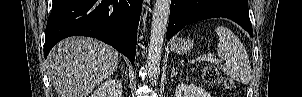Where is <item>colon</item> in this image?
Segmentation results:
<instances>
[{"label": "colon", "mask_w": 302, "mask_h": 97, "mask_svg": "<svg viewBox=\"0 0 302 97\" xmlns=\"http://www.w3.org/2000/svg\"><path fill=\"white\" fill-rule=\"evenodd\" d=\"M203 79L208 82V83H212V84H215V83H220L222 82L220 76H219V73L217 72V70L213 67H206L204 70H203ZM224 84L227 86V87H231L232 86V81L230 80H224L223 81Z\"/></svg>", "instance_id": "1"}]
</instances>
